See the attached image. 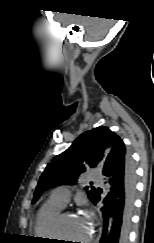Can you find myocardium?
Here are the masks:
<instances>
[{"label": "myocardium", "mask_w": 154, "mask_h": 243, "mask_svg": "<svg viewBox=\"0 0 154 243\" xmlns=\"http://www.w3.org/2000/svg\"><path fill=\"white\" fill-rule=\"evenodd\" d=\"M70 215H73V213L71 211H63V212H60L55 217V219L53 221V235H54L55 239L62 240L63 237L60 234V222L63 217L70 216ZM93 236H94V232L92 230L90 235L84 241H82V243H90L91 240L93 239Z\"/></svg>", "instance_id": "myocardium-1"}]
</instances>
